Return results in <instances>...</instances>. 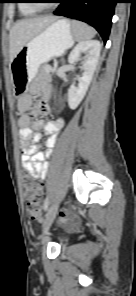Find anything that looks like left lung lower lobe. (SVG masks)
I'll list each match as a JSON object with an SVG mask.
<instances>
[{"label": "left lung lower lobe", "mask_w": 136, "mask_h": 296, "mask_svg": "<svg viewBox=\"0 0 136 296\" xmlns=\"http://www.w3.org/2000/svg\"><path fill=\"white\" fill-rule=\"evenodd\" d=\"M55 15L78 19L93 26L104 43L108 40L112 16L118 0H61Z\"/></svg>", "instance_id": "left-lung-lower-lobe-1"}]
</instances>
